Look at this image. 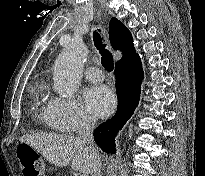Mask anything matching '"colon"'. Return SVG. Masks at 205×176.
I'll return each instance as SVG.
<instances>
[{
	"instance_id": "5ec220e1",
	"label": "colon",
	"mask_w": 205,
	"mask_h": 176,
	"mask_svg": "<svg viewBox=\"0 0 205 176\" xmlns=\"http://www.w3.org/2000/svg\"><path fill=\"white\" fill-rule=\"evenodd\" d=\"M16 157L24 176L42 175L44 163L37 152L28 149H17Z\"/></svg>"
}]
</instances>
